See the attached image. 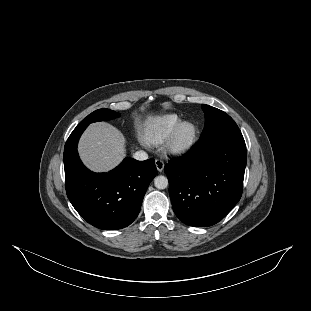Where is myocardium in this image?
I'll use <instances>...</instances> for the list:
<instances>
[{
    "label": "myocardium",
    "instance_id": "1",
    "mask_svg": "<svg viewBox=\"0 0 311 311\" xmlns=\"http://www.w3.org/2000/svg\"><path fill=\"white\" fill-rule=\"evenodd\" d=\"M189 130L186 137L183 136L185 130ZM198 137V128L196 124L190 121L180 123L173 134L171 135L167 149L177 156H182L189 153L195 146Z\"/></svg>",
    "mask_w": 311,
    "mask_h": 311
}]
</instances>
